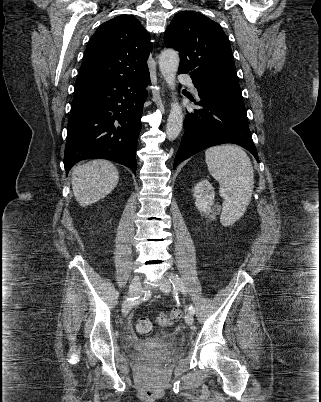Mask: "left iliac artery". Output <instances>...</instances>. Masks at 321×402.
<instances>
[{"mask_svg":"<svg viewBox=\"0 0 321 402\" xmlns=\"http://www.w3.org/2000/svg\"><path fill=\"white\" fill-rule=\"evenodd\" d=\"M169 280L172 283L174 289L181 291L183 294H186L187 291L184 286V283L177 274H171L169 276ZM188 310L192 315L195 313V308L193 305H190Z\"/></svg>","mask_w":321,"mask_h":402,"instance_id":"obj_1","label":"left iliac artery"}]
</instances>
